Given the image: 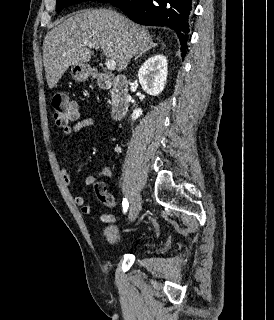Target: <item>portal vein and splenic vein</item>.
Instances as JSON below:
<instances>
[{"label": "portal vein and splenic vein", "mask_w": 274, "mask_h": 320, "mask_svg": "<svg viewBox=\"0 0 274 320\" xmlns=\"http://www.w3.org/2000/svg\"><path fill=\"white\" fill-rule=\"evenodd\" d=\"M84 46H88V48H95V50H98L96 44H89V42H83ZM105 66L107 70H115L116 68V62L115 60H106Z\"/></svg>", "instance_id": "1"}]
</instances>
